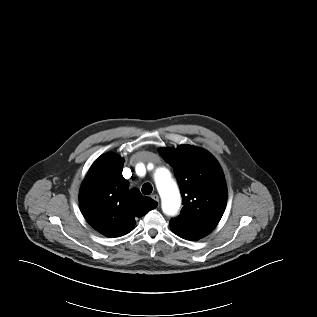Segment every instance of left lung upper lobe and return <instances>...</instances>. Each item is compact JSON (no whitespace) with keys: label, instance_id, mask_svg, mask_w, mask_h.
<instances>
[{"label":"left lung upper lobe","instance_id":"obj_1","mask_svg":"<svg viewBox=\"0 0 317 317\" xmlns=\"http://www.w3.org/2000/svg\"><path fill=\"white\" fill-rule=\"evenodd\" d=\"M159 153L174 169L184 205L180 216L170 220L171 229H178V224L215 228L227 201L219 163L206 150L191 145L160 148Z\"/></svg>","mask_w":317,"mask_h":317}]
</instances>
